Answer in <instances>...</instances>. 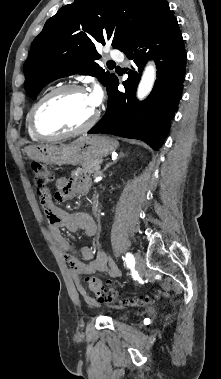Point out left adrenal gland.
<instances>
[{
  "mask_svg": "<svg viewBox=\"0 0 221 379\" xmlns=\"http://www.w3.org/2000/svg\"><path fill=\"white\" fill-rule=\"evenodd\" d=\"M122 157H124L123 152L120 153L118 159H119V158H122ZM118 159L115 160L114 162H110V163L106 164L105 168L103 169V172H104L107 168H109L112 164L116 163V162L118 161Z\"/></svg>",
  "mask_w": 221,
  "mask_h": 379,
  "instance_id": "left-adrenal-gland-1",
  "label": "left adrenal gland"
}]
</instances>
